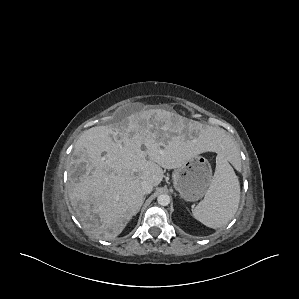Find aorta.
I'll use <instances>...</instances> for the list:
<instances>
[{
    "instance_id": "762f6f07",
    "label": "aorta",
    "mask_w": 299,
    "mask_h": 299,
    "mask_svg": "<svg viewBox=\"0 0 299 299\" xmlns=\"http://www.w3.org/2000/svg\"><path fill=\"white\" fill-rule=\"evenodd\" d=\"M157 202L161 206H167L170 203V196L167 194H160L157 198Z\"/></svg>"
}]
</instances>
